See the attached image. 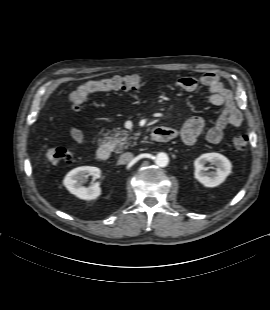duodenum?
<instances>
[{
  "label": "duodenum",
  "instance_id": "obj_1",
  "mask_svg": "<svg viewBox=\"0 0 270 310\" xmlns=\"http://www.w3.org/2000/svg\"><path fill=\"white\" fill-rule=\"evenodd\" d=\"M176 137V132L174 129L164 126H159L153 129L151 133V138L155 141H170ZM96 157L105 161L110 157V149L106 145H100L96 149Z\"/></svg>",
  "mask_w": 270,
  "mask_h": 310
}]
</instances>
